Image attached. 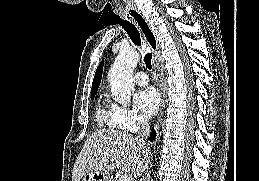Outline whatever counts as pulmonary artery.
Returning <instances> with one entry per match:
<instances>
[{
  "label": "pulmonary artery",
  "mask_w": 259,
  "mask_h": 181,
  "mask_svg": "<svg viewBox=\"0 0 259 181\" xmlns=\"http://www.w3.org/2000/svg\"><path fill=\"white\" fill-rule=\"evenodd\" d=\"M133 79L136 84L141 85V86L146 85L149 82L148 76L144 71L137 72L134 75Z\"/></svg>",
  "instance_id": "e3ab8cb5"
}]
</instances>
